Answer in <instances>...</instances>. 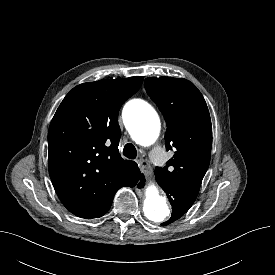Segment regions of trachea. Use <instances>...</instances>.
Segmentation results:
<instances>
[{
	"label": "trachea",
	"instance_id": "obj_1",
	"mask_svg": "<svg viewBox=\"0 0 275 275\" xmlns=\"http://www.w3.org/2000/svg\"><path fill=\"white\" fill-rule=\"evenodd\" d=\"M123 155L129 159H135L137 156V150L133 144H126L123 149Z\"/></svg>",
	"mask_w": 275,
	"mask_h": 275
}]
</instances>
